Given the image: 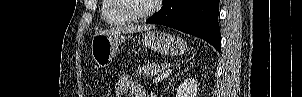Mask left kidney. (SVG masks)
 Instances as JSON below:
<instances>
[{
    "label": "left kidney",
    "instance_id": "obj_1",
    "mask_svg": "<svg viewBox=\"0 0 302 97\" xmlns=\"http://www.w3.org/2000/svg\"><path fill=\"white\" fill-rule=\"evenodd\" d=\"M198 82L196 79L188 78L182 82L177 91L176 97H197Z\"/></svg>",
    "mask_w": 302,
    "mask_h": 97
}]
</instances>
